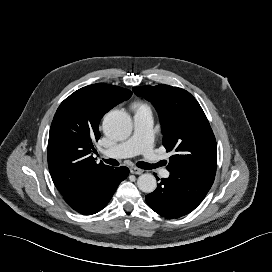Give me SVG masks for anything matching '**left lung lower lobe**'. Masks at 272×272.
<instances>
[{"mask_svg": "<svg viewBox=\"0 0 272 272\" xmlns=\"http://www.w3.org/2000/svg\"><path fill=\"white\" fill-rule=\"evenodd\" d=\"M156 190L146 195L148 206L166 218H179L193 211L210 190L214 176L197 172L169 171Z\"/></svg>", "mask_w": 272, "mask_h": 272, "instance_id": "0a47b994", "label": "left lung lower lobe"}]
</instances>
